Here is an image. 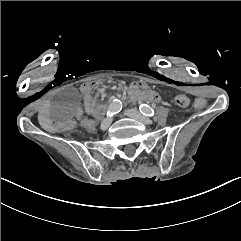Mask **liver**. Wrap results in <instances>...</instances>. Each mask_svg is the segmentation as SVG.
Segmentation results:
<instances>
[{
  "label": "liver",
  "mask_w": 241,
  "mask_h": 241,
  "mask_svg": "<svg viewBox=\"0 0 241 241\" xmlns=\"http://www.w3.org/2000/svg\"><path fill=\"white\" fill-rule=\"evenodd\" d=\"M50 121L49 118H44V121H40V125L41 127L46 130V131H49L51 133H54L55 130L53 129V127L48 123Z\"/></svg>",
  "instance_id": "liver-1"
}]
</instances>
